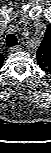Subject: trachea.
<instances>
[{
	"mask_svg": "<svg viewBox=\"0 0 51 153\" xmlns=\"http://www.w3.org/2000/svg\"><path fill=\"white\" fill-rule=\"evenodd\" d=\"M6 45L8 47H14L17 45V37L14 34H8L6 37Z\"/></svg>",
	"mask_w": 51,
	"mask_h": 153,
	"instance_id": "obj_1",
	"label": "trachea"
}]
</instances>
